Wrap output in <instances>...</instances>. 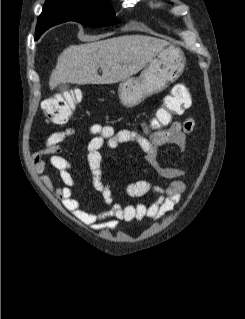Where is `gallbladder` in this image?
<instances>
[{
    "label": "gallbladder",
    "instance_id": "bac80fb5",
    "mask_svg": "<svg viewBox=\"0 0 245 319\" xmlns=\"http://www.w3.org/2000/svg\"><path fill=\"white\" fill-rule=\"evenodd\" d=\"M58 89H59L60 91L68 90V89H69V84H67V83H61V84L58 85Z\"/></svg>",
    "mask_w": 245,
    "mask_h": 319
}]
</instances>
